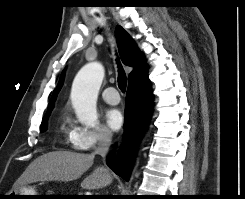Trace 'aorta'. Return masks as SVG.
<instances>
[{"label": "aorta", "mask_w": 245, "mask_h": 199, "mask_svg": "<svg viewBox=\"0 0 245 199\" xmlns=\"http://www.w3.org/2000/svg\"><path fill=\"white\" fill-rule=\"evenodd\" d=\"M104 78V68L98 62L85 65L77 73L71 90L72 106L80 123L92 126L97 120V96Z\"/></svg>", "instance_id": "obj_1"}]
</instances>
